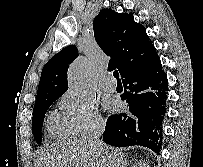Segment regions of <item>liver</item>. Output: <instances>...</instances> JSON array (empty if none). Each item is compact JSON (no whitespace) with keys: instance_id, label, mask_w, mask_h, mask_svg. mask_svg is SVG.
I'll use <instances>...</instances> for the list:
<instances>
[{"instance_id":"liver-1","label":"liver","mask_w":203,"mask_h":167,"mask_svg":"<svg viewBox=\"0 0 203 167\" xmlns=\"http://www.w3.org/2000/svg\"><path fill=\"white\" fill-rule=\"evenodd\" d=\"M126 158L122 149L114 150L102 143L96 150L87 140L68 139L45 148L35 167H122Z\"/></svg>"}]
</instances>
